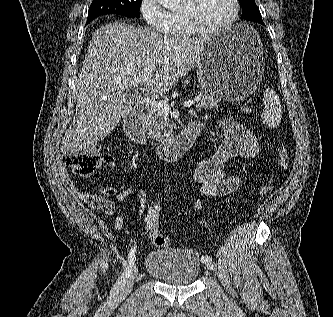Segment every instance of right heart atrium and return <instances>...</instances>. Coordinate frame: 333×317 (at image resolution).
<instances>
[{"instance_id":"right-heart-atrium-1","label":"right heart atrium","mask_w":333,"mask_h":317,"mask_svg":"<svg viewBox=\"0 0 333 317\" xmlns=\"http://www.w3.org/2000/svg\"><path fill=\"white\" fill-rule=\"evenodd\" d=\"M139 10L149 27L161 33H171L173 29L172 13L164 9L158 0H140Z\"/></svg>"}]
</instances>
